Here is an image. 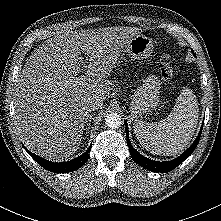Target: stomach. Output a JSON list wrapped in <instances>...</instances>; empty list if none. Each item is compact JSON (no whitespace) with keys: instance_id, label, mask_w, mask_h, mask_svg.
I'll return each instance as SVG.
<instances>
[{"instance_id":"obj_1","label":"stomach","mask_w":221,"mask_h":221,"mask_svg":"<svg viewBox=\"0 0 221 221\" xmlns=\"http://www.w3.org/2000/svg\"><path fill=\"white\" fill-rule=\"evenodd\" d=\"M153 41L145 35H136L125 47L123 54L129 55L133 59H148L153 53ZM161 83L156 74H149L142 86L136 89L132 95L130 111L132 114H140L150 111L159 103V93Z\"/></svg>"}]
</instances>
